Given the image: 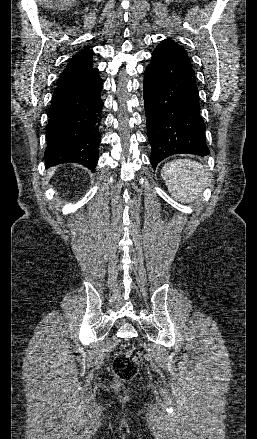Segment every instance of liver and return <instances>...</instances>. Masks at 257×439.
Instances as JSON below:
<instances>
[{"instance_id":"1","label":"liver","mask_w":257,"mask_h":439,"mask_svg":"<svg viewBox=\"0 0 257 439\" xmlns=\"http://www.w3.org/2000/svg\"><path fill=\"white\" fill-rule=\"evenodd\" d=\"M52 174H53V171H51L49 175H52Z\"/></svg>"}]
</instances>
